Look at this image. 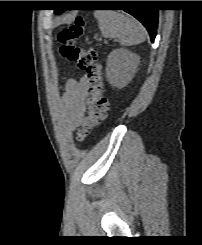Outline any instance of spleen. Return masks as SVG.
Listing matches in <instances>:
<instances>
[{
    "mask_svg": "<svg viewBox=\"0 0 202 245\" xmlns=\"http://www.w3.org/2000/svg\"><path fill=\"white\" fill-rule=\"evenodd\" d=\"M102 35L116 38L122 46L139 44L146 39L144 27L134 18L115 11L99 10L94 13Z\"/></svg>",
    "mask_w": 202,
    "mask_h": 245,
    "instance_id": "1",
    "label": "spleen"
}]
</instances>
